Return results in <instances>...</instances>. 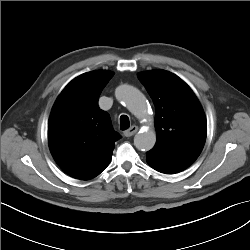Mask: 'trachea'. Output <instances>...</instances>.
Listing matches in <instances>:
<instances>
[{"label":"trachea","mask_w":250,"mask_h":250,"mask_svg":"<svg viewBox=\"0 0 250 250\" xmlns=\"http://www.w3.org/2000/svg\"><path fill=\"white\" fill-rule=\"evenodd\" d=\"M129 126H130V121H129L128 116L121 115L120 116V129L121 130H126V129L129 128Z\"/></svg>","instance_id":"obj_1"}]
</instances>
